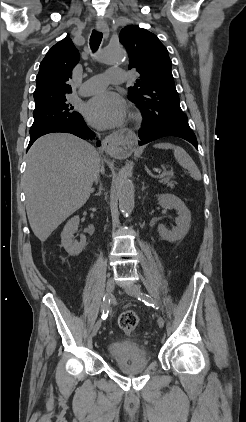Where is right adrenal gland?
<instances>
[{
    "label": "right adrenal gland",
    "instance_id": "2a0ac1e0",
    "mask_svg": "<svg viewBox=\"0 0 246 422\" xmlns=\"http://www.w3.org/2000/svg\"><path fill=\"white\" fill-rule=\"evenodd\" d=\"M101 191H102V185H101V183H100V184H99V189H98V192H97V193H95V194H94V196H100ZM93 192H94V190H92V191H91V193H93Z\"/></svg>",
    "mask_w": 246,
    "mask_h": 422
}]
</instances>
